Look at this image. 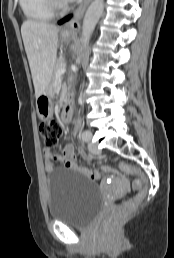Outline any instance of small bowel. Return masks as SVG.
I'll list each match as a JSON object with an SVG mask.
<instances>
[{"label":"small bowel","instance_id":"c3829d8e","mask_svg":"<svg viewBox=\"0 0 174 258\" xmlns=\"http://www.w3.org/2000/svg\"><path fill=\"white\" fill-rule=\"evenodd\" d=\"M74 125H75L76 130L81 129V127H82V124L79 120H77L74 123ZM80 154L82 156V158H81L82 162H91L92 161L91 156L84 150H80ZM43 155H44V160H45V162H44L45 170L48 173H50L54 170V162H61L63 164V166L68 169L84 171L89 175L90 179H99L101 171L108 172L111 170L108 167H103V168L90 167L89 171H88L86 168L82 167L81 165H79L76 162L74 148L71 145L64 146L61 153H54L50 148H45L43 151ZM101 165L103 166L104 164L102 163ZM115 178L120 179L121 187L124 190L129 189L130 180L123 179L124 178L123 174H116Z\"/></svg>","mask_w":174,"mask_h":258}]
</instances>
